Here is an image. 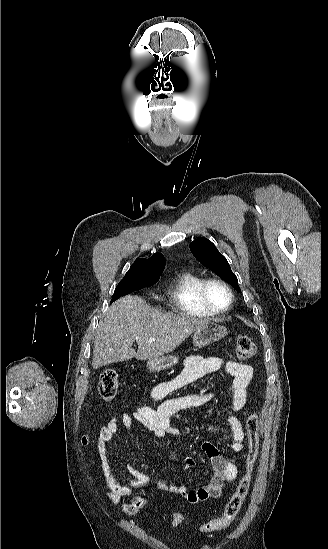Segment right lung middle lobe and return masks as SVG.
Instances as JSON below:
<instances>
[{"label": "right lung middle lobe", "instance_id": "right-lung-middle-lobe-1", "mask_svg": "<svg viewBox=\"0 0 328 549\" xmlns=\"http://www.w3.org/2000/svg\"><path fill=\"white\" fill-rule=\"evenodd\" d=\"M162 272V269L146 267L126 273L123 280H121L116 287L111 303L121 296L131 293L132 291L139 290L156 283Z\"/></svg>", "mask_w": 328, "mask_h": 549}]
</instances>
